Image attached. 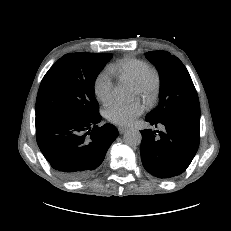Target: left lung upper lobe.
<instances>
[{"label":"left lung upper lobe","instance_id":"left-lung-upper-lobe-1","mask_svg":"<svg viewBox=\"0 0 231 231\" xmlns=\"http://www.w3.org/2000/svg\"><path fill=\"white\" fill-rule=\"evenodd\" d=\"M146 58L160 75V103L146 117L158 120L185 114H200V104L192 79L183 63L167 51H149Z\"/></svg>","mask_w":231,"mask_h":231}]
</instances>
